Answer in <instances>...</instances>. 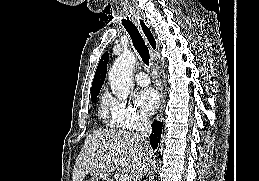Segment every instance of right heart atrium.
<instances>
[{
  "instance_id": "d8ad5b80",
  "label": "right heart atrium",
  "mask_w": 259,
  "mask_h": 181,
  "mask_svg": "<svg viewBox=\"0 0 259 181\" xmlns=\"http://www.w3.org/2000/svg\"><path fill=\"white\" fill-rule=\"evenodd\" d=\"M103 108L106 113V122L111 127L125 130H135L145 126L148 116L131 105L127 100H120L111 94H105Z\"/></svg>"
}]
</instances>
